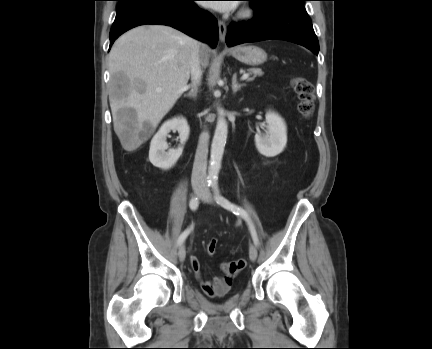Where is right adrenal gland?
Instances as JSON below:
<instances>
[{"instance_id":"right-adrenal-gland-1","label":"right adrenal gland","mask_w":432,"mask_h":349,"mask_svg":"<svg viewBox=\"0 0 432 349\" xmlns=\"http://www.w3.org/2000/svg\"><path fill=\"white\" fill-rule=\"evenodd\" d=\"M184 96L195 99L197 97V87H192L188 93L184 94Z\"/></svg>"}]
</instances>
